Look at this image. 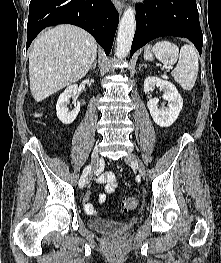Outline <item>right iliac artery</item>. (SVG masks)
Listing matches in <instances>:
<instances>
[{
  "label": "right iliac artery",
  "instance_id": "82829eb1",
  "mask_svg": "<svg viewBox=\"0 0 221 263\" xmlns=\"http://www.w3.org/2000/svg\"><path fill=\"white\" fill-rule=\"evenodd\" d=\"M90 170H91L90 165L86 166L85 169L83 170V173H82L80 180H79V187L80 188H82L84 186L85 179H86L87 175L89 174Z\"/></svg>",
  "mask_w": 221,
  "mask_h": 263
}]
</instances>
